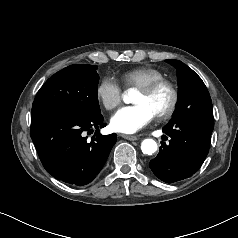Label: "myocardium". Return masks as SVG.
<instances>
[{"mask_svg":"<svg viewBox=\"0 0 238 238\" xmlns=\"http://www.w3.org/2000/svg\"><path fill=\"white\" fill-rule=\"evenodd\" d=\"M162 87H165L168 89V91L170 92V95H171V100H170L168 107L156 115L160 119H167V118H170L174 114V112L178 106L179 93H178L176 86L170 80L161 78V79L152 81L138 89H139V91H141L145 94L151 95Z\"/></svg>","mask_w":238,"mask_h":238,"instance_id":"myocardium-1","label":"myocardium"}]
</instances>
